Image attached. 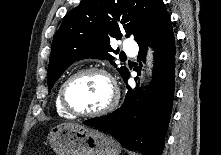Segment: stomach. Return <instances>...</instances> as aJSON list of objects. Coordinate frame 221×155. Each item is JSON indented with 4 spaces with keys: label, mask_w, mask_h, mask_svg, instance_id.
I'll list each match as a JSON object with an SVG mask.
<instances>
[{
    "label": "stomach",
    "mask_w": 221,
    "mask_h": 155,
    "mask_svg": "<svg viewBox=\"0 0 221 155\" xmlns=\"http://www.w3.org/2000/svg\"><path fill=\"white\" fill-rule=\"evenodd\" d=\"M49 144L56 155H118L119 145L106 134L78 124L52 128Z\"/></svg>",
    "instance_id": "0dacf381"
}]
</instances>
